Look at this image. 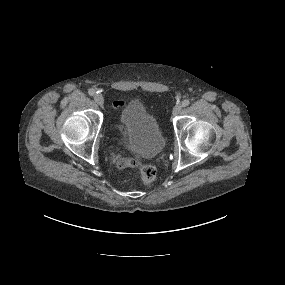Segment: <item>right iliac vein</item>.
I'll list each match as a JSON object with an SVG mask.
<instances>
[{
  "mask_svg": "<svg viewBox=\"0 0 285 285\" xmlns=\"http://www.w3.org/2000/svg\"><path fill=\"white\" fill-rule=\"evenodd\" d=\"M94 100H95V102L99 105V106H102L103 104H104V98H103V96L102 95H96L95 97H94Z\"/></svg>",
  "mask_w": 285,
  "mask_h": 285,
  "instance_id": "obj_1",
  "label": "right iliac vein"
}]
</instances>
